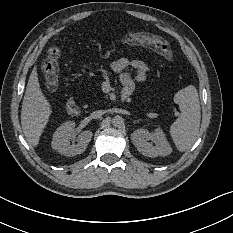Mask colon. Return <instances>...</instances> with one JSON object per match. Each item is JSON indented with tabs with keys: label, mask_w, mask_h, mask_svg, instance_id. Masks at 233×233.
Instances as JSON below:
<instances>
[{
	"label": "colon",
	"mask_w": 233,
	"mask_h": 233,
	"mask_svg": "<svg viewBox=\"0 0 233 233\" xmlns=\"http://www.w3.org/2000/svg\"><path fill=\"white\" fill-rule=\"evenodd\" d=\"M127 42L135 44H145L152 46L157 50L168 63L175 61L170 44L160 38L146 36L141 33H133L127 37ZM60 57V50L58 48H51L48 51V58L44 61L42 70L46 77V85L49 89H55L58 85V60Z\"/></svg>",
	"instance_id": "1"
}]
</instances>
